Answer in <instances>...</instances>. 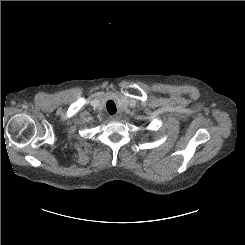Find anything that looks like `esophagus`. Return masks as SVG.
Listing matches in <instances>:
<instances>
[{"label": "esophagus", "instance_id": "1", "mask_svg": "<svg viewBox=\"0 0 245 245\" xmlns=\"http://www.w3.org/2000/svg\"><path fill=\"white\" fill-rule=\"evenodd\" d=\"M120 118H121V114L119 113H116L115 115L110 116V119L114 121L120 120Z\"/></svg>", "mask_w": 245, "mask_h": 245}]
</instances>
